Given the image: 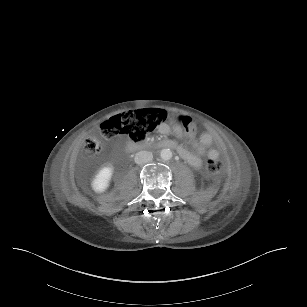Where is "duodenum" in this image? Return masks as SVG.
<instances>
[{
	"label": "duodenum",
	"instance_id": "obj_1",
	"mask_svg": "<svg viewBox=\"0 0 307 307\" xmlns=\"http://www.w3.org/2000/svg\"><path fill=\"white\" fill-rule=\"evenodd\" d=\"M160 146L161 148H165V149H174V143L171 141H160V142H144V143H139V144H134V145H130L129 149L131 150H143V149H147L150 146Z\"/></svg>",
	"mask_w": 307,
	"mask_h": 307
}]
</instances>
